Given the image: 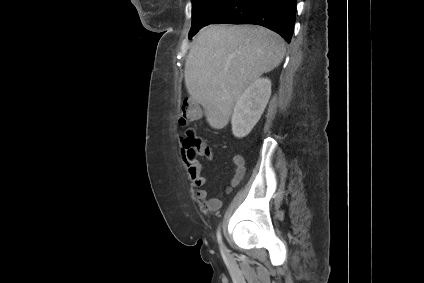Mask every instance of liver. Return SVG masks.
<instances>
[{"instance_id": "6515ba94", "label": "liver", "mask_w": 424, "mask_h": 283, "mask_svg": "<svg viewBox=\"0 0 424 283\" xmlns=\"http://www.w3.org/2000/svg\"><path fill=\"white\" fill-rule=\"evenodd\" d=\"M285 55L282 37L258 25H208L194 37L184 69L187 91L209 125L225 127L235 102Z\"/></svg>"}]
</instances>
